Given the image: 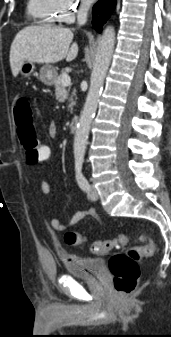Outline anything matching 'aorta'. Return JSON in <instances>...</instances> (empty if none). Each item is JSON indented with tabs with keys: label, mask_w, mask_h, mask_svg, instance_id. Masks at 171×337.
Returning a JSON list of instances; mask_svg holds the SVG:
<instances>
[{
	"label": "aorta",
	"mask_w": 171,
	"mask_h": 337,
	"mask_svg": "<svg viewBox=\"0 0 171 337\" xmlns=\"http://www.w3.org/2000/svg\"><path fill=\"white\" fill-rule=\"evenodd\" d=\"M115 44L114 27L108 26L100 38L93 70L90 78V88L81 112L74 138V156L83 157L86 150L90 125L97 110L99 98L103 89L104 79L108 71Z\"/></svg>",
	"instance_id": "aorta-1"
}]
</instances>
